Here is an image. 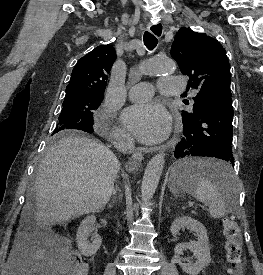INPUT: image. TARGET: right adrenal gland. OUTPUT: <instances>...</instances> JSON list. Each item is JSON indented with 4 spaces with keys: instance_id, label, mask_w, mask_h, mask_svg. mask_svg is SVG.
Here are the masks:
<instances>
[{
    "instance_id": "1",
    "label": "right adrenal gland",
    "mask_w": 263,
    "mask_h": 275,
    "mask_svg": "<svg viewBox=\"0 0 263 275\" xmlns=\"http://www.w3.org/2000/svg\"><path fill=\"white\" fill-rule=\"evenodd\" d=\"M118 191L120 192L119 189H118ZM115 193H116V192H114L113 194L115 195ZM121 198H122V194L120 193V194H119V200H121ZM114 203H115V200L113 199L112 203H111L109 206L112 207Z\"/></svg>"
}]
</instances>
